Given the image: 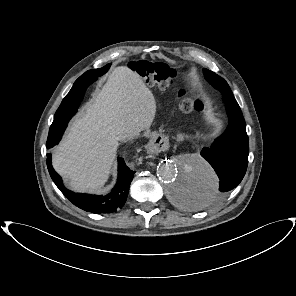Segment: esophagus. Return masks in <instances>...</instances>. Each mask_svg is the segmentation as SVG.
Instances as JSON below:
<instances>
[{"mask_svg": "<svg viewBox=\"0 0 296 296\" xmlns=\"http://www.w3.org/2000/svg\"><path fill=\"white\" fill-rule=\"evenodd\" d=\"M158 138L156 135H153L151 139L147 140L143 145L144 152L149 156L159 157L161 156L165 148L168 147V138L164 136L159 138V140H154Z\"/></svg>", "mask_w": 296, "mask_h": 296, "instance_id": "esophagus-1", "label": "esophagus"}]
</instances>
